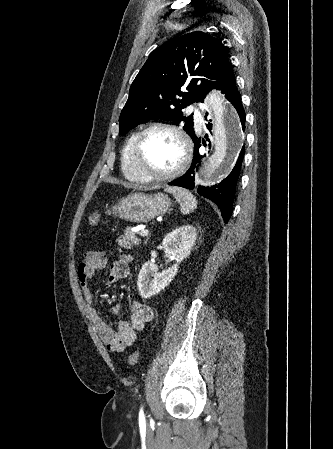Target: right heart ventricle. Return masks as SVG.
I'll list each match as a JSON object with an SVG mask.
<instances>
[{
    "instance_id": "right-heart-ventricle-1",
    "label": "right heart ventricle",
    "mask_w": 333,
    "mask_h": 449,
    "mask_svg": "<svg viewBox=\"0 0 333 449\" xmlns=\"http://www.w3.org/2000/svg\"><path fill=\"white\" fill-rule=\"evenodd\" d=\"M137 135L138 132L132 133L123 146L121 154L122 171L129 180L145 182L137 173L133 163V148Z\"/></svg>"
}]
</instances>
